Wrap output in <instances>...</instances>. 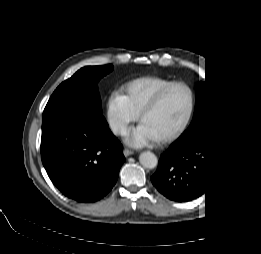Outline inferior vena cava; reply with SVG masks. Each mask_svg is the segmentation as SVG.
<instances>
[{
    "label": "inferior vena cava",
    "mask_w": 261,
    "mask_h": 254,
    "mask_svg": "<svg viewBox=\"0 0 261 254\" xmlns=\"http://www.w3.org/2000/svg\"><path fill=\"white\" fill-rule=\"evenodd\" d=\"M109 123H110L111 130L115 134L123 133L126 129V125L122 121L111 119Z\"/></svg>",
    "instance_id": "602c4592"
}]
</instances>
